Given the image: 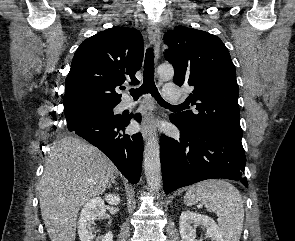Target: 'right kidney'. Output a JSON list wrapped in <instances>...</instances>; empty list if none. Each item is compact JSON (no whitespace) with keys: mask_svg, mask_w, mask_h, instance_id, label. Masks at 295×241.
Instances as JSON below:
<instances>
[{"mask_svg":"<svg viewBox=\"0 0 295 241\" xmlns=\"http://www.w3.org/2000/svg\"><path fill=\"white\" fill-rule=\"evenodd\" d=\"M105 202L109 205H118L120 197L116 194H106L104 199L95 197L86 202L81 210L78 221V234L81 241H93L92 224L106 212ZM100 241H113L112 232L100 237Z\"/></svg>","mask_w":295,"mask_h":241,"instance_id":"ca27d5eb","label":"right kidney"}]
</instances>
